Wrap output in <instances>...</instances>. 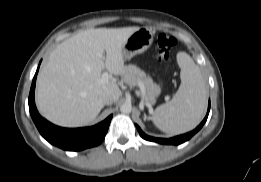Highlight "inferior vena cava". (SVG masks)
<instances>
[{
	"instance_id": "inferior-vena-cava-1",
	"label": "inferior vena cava",
	"mask_w": 261,
	"mask_h": 182,
	"mask_svg": "<svg viewBox=\"0 0 261 182\" xmlns=\"http://www.w3.org/2000/svg\"><path fill=\"white\" fill-rule=\"evenodd\" d=\"M101 100L105 105H111L114 102V99L111 95H104Z\"/></svg>"
}]
</instances>
